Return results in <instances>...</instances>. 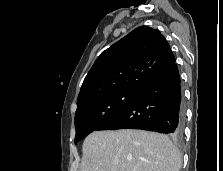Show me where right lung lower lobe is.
Returning a JSON list of instances; mask_svg holds the SVG:
<instances>
[{
	"mask_svg": "<svg viewBox=\"0 0 223 171\" xmlns=\"http://www.w3.org/2000/svg\"><path fill=\"white\" fill-rule=\"evenodd\" d=\"M184 105L176 63L141 89L136 97L115 117L98 130L144 129L183 135Z\"/></svg>",
	"mask_w": 223,
	"mask_h": 171,
	"instance_id": "right-lung-lower-lobe-1",
	"label": "right lung lower lobe"
}]
</instances>
